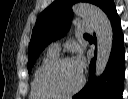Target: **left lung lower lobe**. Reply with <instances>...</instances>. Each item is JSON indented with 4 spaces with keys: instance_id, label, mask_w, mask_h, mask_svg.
Listing matches in <instances>:
<instances>
[{
    "instance_id": "1",
    "label": "left lung lower lobe",
    "mask_w": 128,
    "mask_h": 99,
    "mask_svg": "<svg viewBox=\"0 0 128 99\" xmlns=\"http://www.w3.org/2000/svg\"><path fill=\"white\" fill-rule=\"evenodd\" d=\"M101 9L107 14L113 29L112 52L104 73L97 79L95 77V57L90 62V75L86 86L74 99H122L123 80L125 74L124 37L121 21L116 12L113 0H104Z\"/></svg>"
}]
</instances>
